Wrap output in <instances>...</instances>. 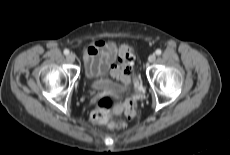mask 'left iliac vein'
Segmentation results:
<instances>
[{"mask_svg": "<svg viewBox=\"0 0 230 155\" xmlns=\"http://www.w3.org/2000/svg\"><path fill=\"white\" fill-rule=\"evenodd\" d=\"M155 60H156V55H155V54H151V55L148 57V61H149L150 63L155 62Z\"/></svg>", "mask_w": 230, "mask_h": 155, "instance_id": "1", "label": "left iliac vein"}]
</instances>
